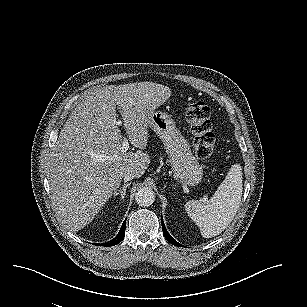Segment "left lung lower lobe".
<instances>
[{"instance_id":"1","label":"left lung lower lobe","mask_w":307,"mask_h":307,"mask_svg":"<svg viewBox=\"0 0 307 307\" xmlns=\"http://www.w3.org/2000/svg\"><path fill=\"white\" fill-rule=\"evenodd\" d=\"M161 221H162V229H163V234L165 236V238L172 243L175 246H181L180 243H178L175 239H173L171 237V235L168 233L167 229L165 228L164 222H163V218L161 217Z\"/></svg>"}]
</instances>
